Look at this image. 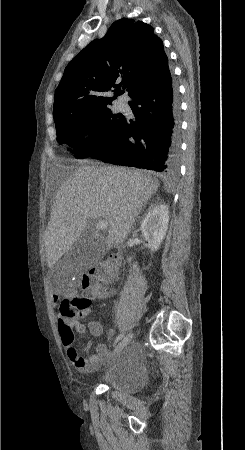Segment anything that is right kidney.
<instances>
[{
    "label": "right kidney",
    "mask_w": 245,
    "mask_h": 450,
    "mask_svg": "<svg viewBox=\"0 0 245 450\" xmlns=\"http://www.w3.org/2000/svg\"><path fill=\"white\" fill-rule=\"evenodd\" d=\"M169 223L168 207L159 204L144 217L140 229L152 252L157 251L166 235ZM137 269V263L133 265Z\"/></svg>",
    "instance_id": "obj_1"
}]
</instances>
